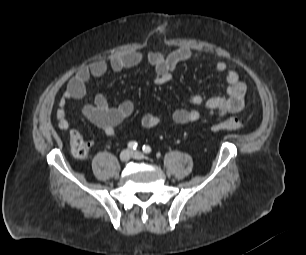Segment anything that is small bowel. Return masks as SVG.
<instances>
[{"label": "small bowel", "instance_id": "obj_1", "mask_svg": "<svg viewBox=\"0 0 306 255\" xmlns=\"http://www.w3.org/2000/svg\"><path fill=\"white\" fill-rule=\"evenodd\" d=\"M192 58V51L187 47L177 48L168 54L161 52L130 51L113 55L108 61L96 60L89 66L80 68L69 80L65 91L58 102L56 110L57 126L61 130L68 128L66 118V105L70 100H82L86 96V85L90 78H99L109 69L121 71L139 65H147L154 71L153 81L162 85L171 80L177 66ZM214 71L225 78L227 90L225 95L204 97L200 94L193 95L190 103L193 108L177 109L172 118L177 124L194 123L200 120L203 108L215 116H226L238 113L245 106L246 84L235 70L228 69L225 61L220 60L214 64ZM134 112V104L125 100L116 106H110L106 97L97 94L92 101L84 103L82 114L93 125L101 129L107 136L116 134V127L125 121ZM160 123V118L154 114H145L141 119L143 128L150 129Z\"/></svg>", "mask_w": 306, "mask_h": 255}]
</instances>
